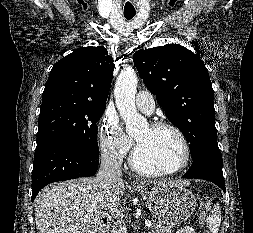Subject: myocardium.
Returning a JSON list of instances; mask_svg holds the SVG:
<instances>
[{"mask_svg": "<svg viewBox=\"0 0 253 233\" xmlns=\"http://www.w3.org/2000/svg\"><path fill=\"white\" fill-rule=\"evenodd\" d=\"M149 127L152 130L172 131L178 137L183 147V159L178 166L172 169H168V170L148 169L140 164L138 160V156H137V152H138L137 143H135L134 148L132 150L131 158H130L131 166L140 174L145 175V176H150V177L170 176V175H174L183 171L188 166L191 160V147L183 131L180 128H178L176 125L169 122H165V121L152 122L149 125Z\"/></svg>", "mask_w": 253, "mask_h": 233, "instance_id": "obj_1", "label": "myocardium"}]
</instances>
